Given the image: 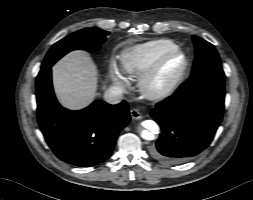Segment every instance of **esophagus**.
Instances as JSON below:
<instances>
[{
    "mask_svg": "<svg viewBox=\"0 0 253 200\" xmlns=\"http://www.w3.org/2000/svg\"><path fill=\"white\" fill-rule=\"evenodd\" d=\"M130 115H131L132 119H136V120L142 119V117H143L137 109H131Z\"/></svg>",
    "mask_w": 253,
    "mask_h": 200,
    "instance_id": "esophagus-1",
    "label": "esophagus"
}]
</instances>
